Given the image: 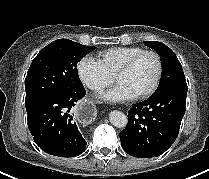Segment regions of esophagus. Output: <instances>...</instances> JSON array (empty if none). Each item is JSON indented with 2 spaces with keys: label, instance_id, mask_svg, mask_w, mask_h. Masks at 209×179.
Returning <instances> with one entry per match:
<instances>
[{
  "label": "esophagus",
  "instance_id": "obj_1",
  "mask_svg": "<svg viewBox=\"0 0 209 179\" xmlns=\"http://www.w3.org/2000/svg\"><path fill=\"white\" fill-rule=\"evenodd\" d=\"M73 114L79 122L87 123L95 117L96 109L90 101H79L74 106Z\"/></svg>",
  "mask_w": 209,
  "mask_h": 179
}]
</instances>
